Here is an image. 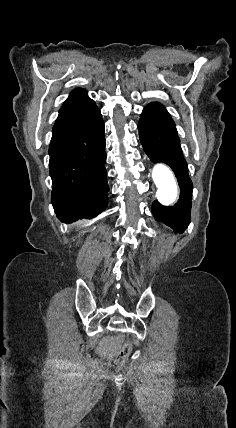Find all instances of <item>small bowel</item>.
Instances as JSON below:
<instances>
[{"mask_svg":"<svg viewBox=\"0 0 236 428\" xmlns=\"http://www.w3.org/2000/svg\"><path fill=\"white\" fill-rule=\"evenodd\" d=\"M117 345H118L117 338H115L114 336H111L106 340H104L99 345V352L101 354L108 355L117 347Z\"/></svg>","mask_w":236,"mask_h":428,"instance_id":"c3829d8e","label":"small bowel"}]
</instances>
